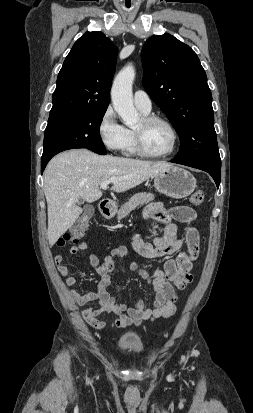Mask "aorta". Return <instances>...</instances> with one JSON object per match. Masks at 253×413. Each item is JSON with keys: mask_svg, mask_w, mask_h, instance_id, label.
<instances>
[{"mask_svg": "<svg viewBox=\"0 0 253 413\" xmlns=\"http://www.w3.org/2000/svg\"><path fill=\"white\" fill-rule=\"evenodd\" d=\"M134 78L135 69L132 64H128L117 74L111 88L114 110L124 124L129 127L139 122V113L133 104L132 85Z\"/></svg>", "mask_w": 253, "mask_h": 413, "instance_id": "762f6f07", "label": "aorta"}]
</instances>
